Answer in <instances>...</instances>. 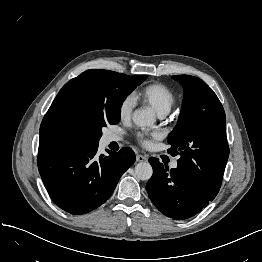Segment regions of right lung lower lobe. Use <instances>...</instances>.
Returning a JSON list of instances; mask_svg holds the SVG:
<instances>
[{
	"mask_svg": "<svg viewBox=\"0 0 262 262\" xmlns=\"http://www.w3.org/2000/svg\"><path fill=\"white\" fill-rule=\"evenodd\" d=\"M98 145L80 141L40 142L38 169L45 188L61 209L71 214L90 212L106 202L122 174L135 162V153L97 155Z\"/></svg>",
	"mask_w": 262,
	"mask_h": 262,
	"instance_id": "98d812e1",
	"label": "right lung lower lobe"
}]
</instances>
